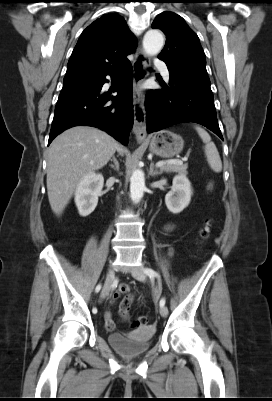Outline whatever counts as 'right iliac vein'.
Here are the masks:
<instances>
[{
  "label": "right iliac vein",
  "mask_w": 272,
  "mask_h": 401,
  "mask_svg": "<svg viewBox=\"0 0 272 401\" xmlns=\"http://www.w3.org/2000/svg\"><path fill=\"white\" fill-rule=\"evenodd\" d=\"M114 279V271L112 269V267H109L107 274H106V279H105V283L101 292V298L104 299L107 297V295L109 294L112 282Z\"/></svg>",
  "instance_id": "1"
}]
</instances>
